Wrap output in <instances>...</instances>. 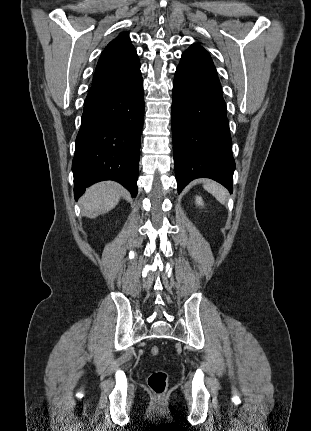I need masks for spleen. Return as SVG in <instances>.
I'll list each match as a JSON object with an SVG mask.
<instances>
[{"mask_svg": "<svg viewBox=\"0 0 311 431\" xmlns=\"http://www.w3.org/2000/svg\"><path fill=\"white\" fill-rule=\"evenodd\" d=\"M204 188L205 190H207V192H209V194L215 196L218 202H221V204H225L227 192L225 188H222V186H220V184H216V182H205Z\"/></svg>", "mask_w": 311, "mask_h": 431, "instance_id": "spleen-1", "label": "spleen"}]
</instances>
